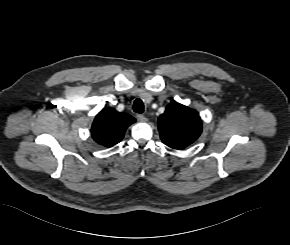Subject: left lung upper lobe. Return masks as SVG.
<instances>
[{
  "mask_svg": "<svg viewBox=\"0 0 290 245\" xmlns=\"http://www.w3.org/2000/svg\"><path fill=\"white\" fill-rule=\"evenodd\" d=\"M158 128L164 144L174 149H183L199 137L202 123L195 110L174 102L159 117Z\"/></svg>",
  "mask_w": 290,
  "mask_h": 245,
  "instance_id": "5c2ea615",
  "label": "left lung upper lobe"
}]
</instances>
